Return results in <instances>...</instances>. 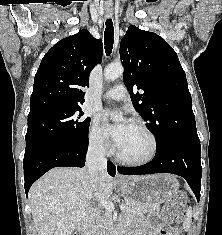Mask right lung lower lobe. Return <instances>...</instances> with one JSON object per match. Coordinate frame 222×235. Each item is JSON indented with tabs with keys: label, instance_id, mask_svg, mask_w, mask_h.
<instances>
[{
	"label": "right lung lower lobe",
	"instance_id": "obj_1",
	"mask_svg": "<svg viewBox=\"0 0 222 235\" xmlns=\"http://www.w3.org/2000/svg\"><path fill=\"white\" fill-rule=\"evenodd\" d=\"M87 150L88 144H50L25 154L23 166L26 195H28L31 185L51 168L59 166L83 167ZM107 171L111 176L116 174L115 166L109 162Z\"/></svg>",
	"mask_w": 222,
	"mask_h": 235
}]
</instances>
